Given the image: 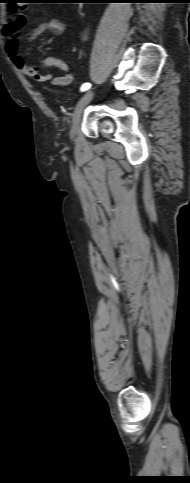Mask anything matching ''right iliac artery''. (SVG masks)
I'll list each match as a JSON object with an SVG mask.
<instances>
[{
	"label": "right iliac artery",
	"instance_id": "right-iliac-artery-1",
	"mask_svg": "<svg viewBox=\"0 0 190 483\" xmlns=\"http://www.w3.org/2000/svg\"><path fill=\"white\" fill-rule=\"evenodd\" d=\"M90 87H91V84H90V83H84V84L81 86V91H86V90H88Z\"/></svg>",
	"mask_w": 190,
	"mask_h": 483
}]
</instances>
